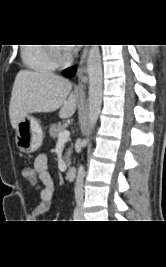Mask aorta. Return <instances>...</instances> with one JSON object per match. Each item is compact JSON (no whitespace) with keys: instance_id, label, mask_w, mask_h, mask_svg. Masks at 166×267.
<instances>
[{"instance_id":"1","label":"aorta","mask_w":166,"mask_h":267,"mask_svg":"<svg viewBox=\"0 0 166 267\" xmlns=\"http://www.w3.org/2000/svg\"><path fill=\"white\" fill-rule=\"evenodd\" d=\"M87 72L89 77V119L91 130L97 123L102 105V65L98 45H92L87 59Z\"/></svg>"}]
</instances>
